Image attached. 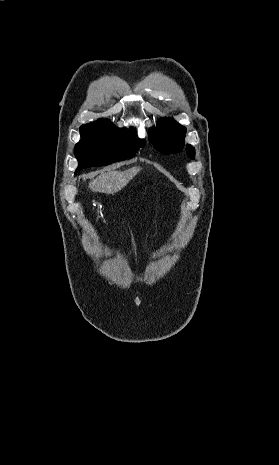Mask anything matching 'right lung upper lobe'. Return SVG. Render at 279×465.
I'll return each mask as SVG.
<instances>
[{
    "label": "right lung upper lobe",
    "mask_w": 279,
    "mask_h": 465,
    "mask_svg": "<svg viewBox=\"0 0 279 465\" xmlns=\"http://www.w3.org/2000/svg\"><path fill=\"white\" fill-rule=\"evenodd\" d=\"M100 125H111L114 126L109 120L104 121L103 119H99L98 121L91 122L89 124L82 125L80 130H84L93 126H100Z\"/></svg>",
    "instance_id": "obj_1"
}]
</instances>
